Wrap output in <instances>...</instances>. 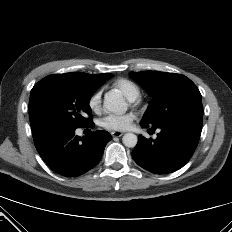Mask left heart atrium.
I'll list each match as a JSON object with an SVG mask.
<instances>
[{
	"mask_svg": "<svg viewBox=\"0 0 232 232\" xmlns=\"http://www.w3.org/2000/svg\"><path fill=\"white\" fill-rule=\"evenodd\" d=\"M134 119L135 115L133 113H126L122 115H108L103 118L101 125L107 130L125 131L131 127Z\"/></svg>",
	"mask_w": 232,
	"mask_h": 232,
	"instance_id": "39dd6f15",
	"label": "left heart atrium"
}]
</instances>
